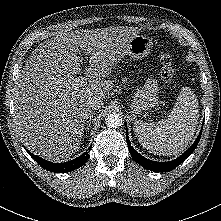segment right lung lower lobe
<instances>
[{
  "instance_id": "98d812e1",
  "label": "right lung lower lobe",
  "mask_w": 221,
  "mask_h": 221,
  "mask_svg": "<svg viewBox=\"0 0 221 221\" xmlns=\"http://www.w3.org/2000/svg\"><path fill=\"white\" fill-rule=\"evenodd\" d=\"M26 151L44 169L51 171V172H58V173L71 172V171L81 167L82 165H84L89 158V154H88L89 152L86 151L81 156H79L71 161L64 162V163H53V162L47 161L45 159H42V158L38 157L37 155L30 153L28 150H26Z\"/></svg>"
}]
</instances>
